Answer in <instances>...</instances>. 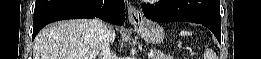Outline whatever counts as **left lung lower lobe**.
Masks as SVG:
<instances>
[{
    "label": "left lung lower lobe",
    "mask_w": 261,
    "mask_h": 59,
    "mask_svg": "<svg viewBox=\"0 0 261 59\" xmlns=\"http://www.w3.org/2000/svg\"><path fill=\"white\" fill-rule=\"evenodd\" d=\"M141 7L144 15L156 22L200 23L210 29L221 43L220 0H162Z\"/></svg>",
    "instance_id": "1"
}]
</instances>
